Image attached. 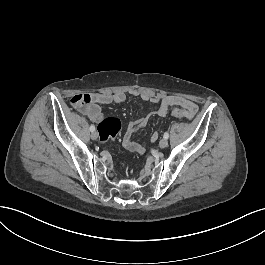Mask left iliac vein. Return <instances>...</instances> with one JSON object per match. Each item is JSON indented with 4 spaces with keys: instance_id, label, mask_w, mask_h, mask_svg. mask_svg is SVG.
I'll use <instances>...</instances> for the list:
<instances>
[{
    "instance_id": "left-iliac-vein-1",
    "label": "left iliac vein",
    "mask_w": 265,
    "mask_h": 265,
    "mask_svg": "<svg viewBox=\"0 0 265 265\" xmlns=\"http://www.w3.org/2000/svg\"><path fill=\"white\" fill-rule=\"evenodd\" d=\"M167 146H168L167 139H165V138L161 139L160 142H159V147L160 148H166Z\"/></svg>"
}]
</instances>
